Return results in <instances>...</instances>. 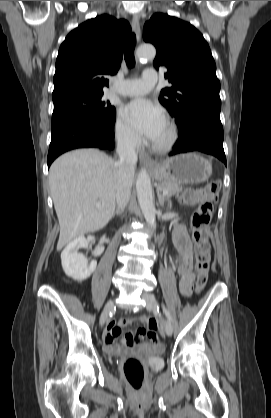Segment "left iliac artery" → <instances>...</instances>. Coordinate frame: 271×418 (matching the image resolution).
<instances>
[{
	"label": "left iliac artery",
	"instance_id": "left-iliac-artery-1",
	"mask_svg": "<svg viewBox=\"0 0 271 418\" xmlns=\"http://www.w3.org/2000/svg\"><path fill=\"white\" fill-rule=\"evenodd\" d=\"M162 308H163V311H164V313H165L166 317H167V318H168V320L171 322V321H172V317H171L170 312L168 311V309H167L164 305H162Z\"/></svg>",
	"mask_w": 271,
	"mask_h": 418
}]
</instances>
